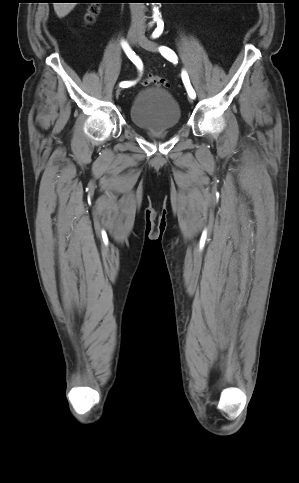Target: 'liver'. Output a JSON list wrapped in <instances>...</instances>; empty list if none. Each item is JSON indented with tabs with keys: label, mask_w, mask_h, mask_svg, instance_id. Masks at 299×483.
<instances>
[{
	"label": "liver",
	"mask_w": 299,
	"mask_h": 483,
	"mask_svg": "<svg viewBox=\"0 0 299 483\" xmlns=\"http://www.w3.org/2000/svg\"><path fill=\"white\" fill-rule=\"evenodd\" d=\"M76 3H54V10L59 18L65 17Z\"/></svg>",
	"instance_id": "liver-1"
}]
</instances>
